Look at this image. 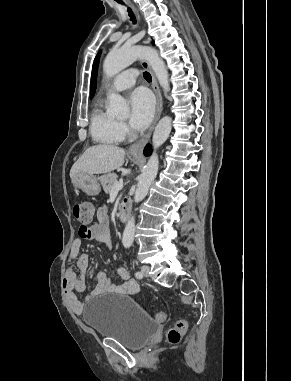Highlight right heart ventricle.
<instances>
[{
    "mask_svg": "<svg viewBox=\"0 0 291 381\" xmlns=\"http://www.w3.org/2000/svg\"><path fill=\"white\" fill-rule=\"evenodd\" d=\"M90 133L99 144H118L124 139L120 123L104 109L103 103H97L90 116Z\"/></svg>",
    "mask_w": 291,
    "mask_h": 381,
    "instance_id": "obj_1",
    "label": "right heart ventricle"
}]
</instances>
